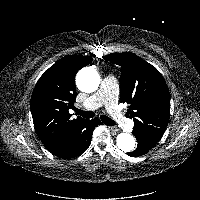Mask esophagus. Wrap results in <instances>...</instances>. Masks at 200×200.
<instances>
[{
    "instance_id": "34e87169",
    "label": "esophagus",
    "mask_w": 200,
    "mask_h": 200,
    "mask_svg": "<svg viewBox=\"0 0 200 200\" xmlns=\"http://www.w3.org/2000/svg\"><path fill=\"white\" fill-rule=\"evenodd\" d=\"M109 129H110L111 132H113V133H117V132L119 131V129L116 128V127H109Z\"/></svg>"
}]
</instances>
